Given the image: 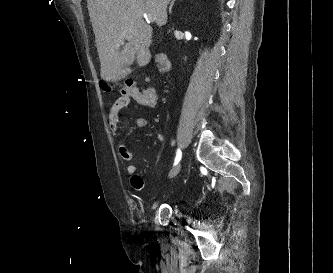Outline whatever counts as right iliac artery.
<instances>
[{"mask_svg":"<svg viewBox=\"0 0 333 273\" xmlns=\"http://www.w3.org/2000/svg\"><path fill=\"white\" fill-rule=\"evenodd\" d=\"M182 157V152L180 149L177 150V154L175 157L174 165H177Z\"/></svg>","mask_w":333,"mask_h":273,"instance_id":"1","label":"right iliac artery"}]
</instances>
